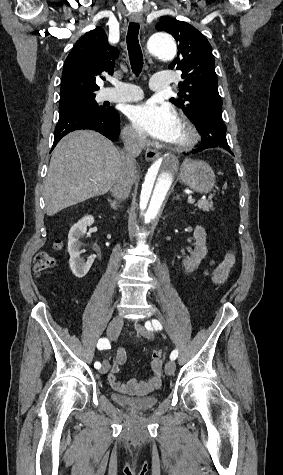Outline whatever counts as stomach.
<instances>
[{"instance_id": "obj_1", "label": "stomach", "mask_w": 283, "mask_h": 475, "mask_svg": "<svg viewBox=\"0 0 283 475\" xmlns=\"http://www.w3.org/2000/svg\"><path fill=\"white\" fill-rule=\"evenodd\" d=\"M216 176L203 160H184L179 174L182 184L200 194H208L215 186Z\"/></svg>"}]
</instances>
